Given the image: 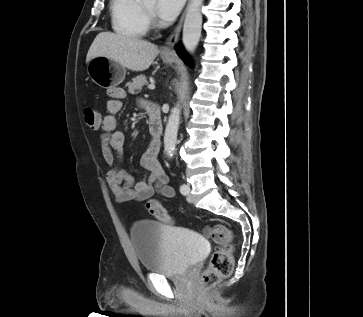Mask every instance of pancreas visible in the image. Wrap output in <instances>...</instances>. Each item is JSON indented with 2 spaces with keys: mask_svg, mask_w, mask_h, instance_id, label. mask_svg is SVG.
<instances>
[{
  "mask_svg": "<svg viewBox=\"0 0 363 317\" xmlns=\"http://www.w3.org/2000/svg\"><path fill=\"white\" fill-rule=\"evenodd\" d=\"M147 84H148V81L146 79V76L138 75L132 79V82H129L127 84L128 92L130 94H137L139 91H141L142 87Z\"/></svg>",
  "mask_w": 363,
  "mask_h": 317,
  "instance_id": "obj_1",
  "label": "pancreas"
}]
</instances>
